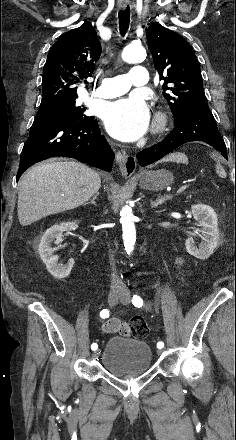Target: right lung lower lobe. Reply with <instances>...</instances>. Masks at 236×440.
<instances>
[{
    "label": "right lung lower lobe",
    "mask_w": 236,
    "mask_h": 440,
    "mask_svg": "<svg viewBox=\"0 0 236 440\" xmlns=\"http://www.w3.org/2000/svg\"><path fill=\"white\" fill-rule=\"evenodd\" d=\"M54 156L75 158L110 172L115 155L93 116L77 120L38 113L21 152L17 181L30 166Z\"/></svg>",
    "instance_id": "obj_1"
}]
</instances>
